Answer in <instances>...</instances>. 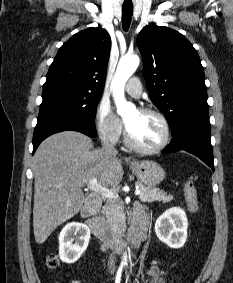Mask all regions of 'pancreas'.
Returning a JSON list of instances; mask_svg holds the SVG:
<instances>
[{"instance_id":"1","label":"pancreas","mask_w":233,"mask_h":283,"mask_svg":"<svg viewBox=\"0 0 233 283\" xmlns=\"http://www.w3.org/2000/svg\"><path fill=\"white\" fill-rule=\"evenodd\" d=\"M136 186H138L141 193L138 195L139 199L142 202H170L173 199L171 194L167 195L165 192L161 191L158 188H151L148 186H144L141 182H136ZM103 218L106 222L116 231L120 232L123 227V208L120 202H116L113 200H109L105 205L103 211Z\"/></svg>"}]
</instances>
